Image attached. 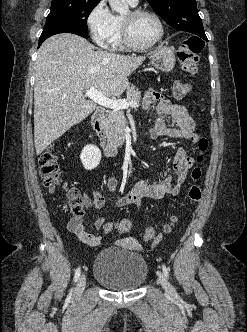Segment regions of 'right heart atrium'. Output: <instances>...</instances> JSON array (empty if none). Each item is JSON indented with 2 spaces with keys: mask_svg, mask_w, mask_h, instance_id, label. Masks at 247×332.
Instances as JSON below:
<instances>
[{
  "mask_svg": "<svg viewBox=\"0 0 247 332\" xmlns=\"http://www.w3.org/2000/svg\"><path fill=\"white\" fill-rule=\"evenodd\" d=\"M86 26L92 40L100 47H108L115 29V16L105 0H99L86 17Z\"/></svg>",
  "mask_w": 247,
  "mask_h": 332,
  "instance_id": "d8ad5b80",
  "label": "right heart atrium"
}]
</instances>
